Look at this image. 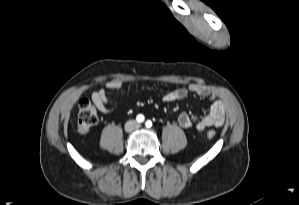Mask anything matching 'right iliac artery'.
I'll return each instance as SVG.
<instances>
[{
  "label": "right iliac artery",
  "instance_id": "obj_1",
  "mask_svg": "<svg viewBox=\"0 0 299 205\" xmlns=\"http://www.w3.org/2000/svg\"><path fill=\"white\" fill-rule=\"evenodd\" d=\"M136 119H137V121H138L139 123H141V122L144 121V116L140 114V115L137 116Z\"/></svg>",
  "mask_w": 299,
  "mask_h": 205
}]
</instances>
